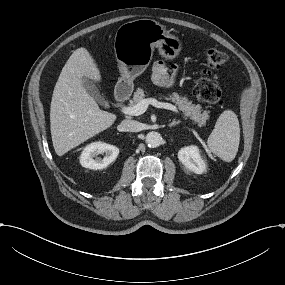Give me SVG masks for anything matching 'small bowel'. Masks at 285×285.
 Instances as JSON below:
<instances>
[{"label":"small bowel","mask_w":285,"mask_h":285,"mask_svg":"<svg viewBox=\"0 0 285 285\" xmlns=\"http://www.w3.org/2000/svg\"><path fill=\"white\" fill-rule=\"evenodd\" d=\"M152 79L161 87H170L174 80V68L166 66L163 62H157L152 69Z\"/></svg>","instance_id":"1"}]
</instances>
